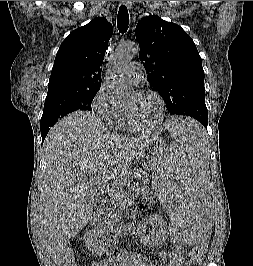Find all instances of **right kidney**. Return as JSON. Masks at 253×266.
Instances as JSON below:
<instances>
[{
  "label": "right kidney",
  "mask_w": 253,
  "mask_h": 266,
  "mask_svg": "<svg viewBox=\"0 0 253 266\" xmlns=\"http://www.w3.org/2000/svg\"><path fill=\"white\" fill-rule=\"evenodd\" d=\"M82 240L85 242L86 247L93 255H102L105 251L104 237L99 230H89L87 231Z\"/></svg>",
  "instance_id": "ca27d5eb"
}]
</instances>
